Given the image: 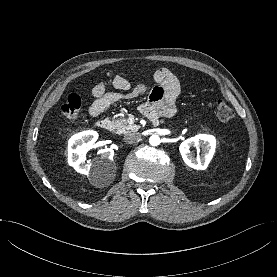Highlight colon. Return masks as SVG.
<instances>
[{
  "mask_svg": "<svg viewBox=\"0 0 277 277\" xmlns=\"http://www.w3.org/2000/svg\"><path fill=\"white\" fill-rule=\"evenodd\" d=\"M82 100L79 95L71 94L66 102L62 105V113L68 119H76L81 110ZM214 113L221 122L230 121L233 116V110L230 105L224 100H217L214 105Z\"/></svg>",
  "mask_w": 277,
  "mask_h": 277,
  "instance_id": "colon-1",
  "label": "colon"
}]
</instances>
